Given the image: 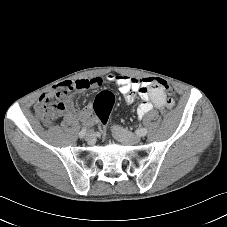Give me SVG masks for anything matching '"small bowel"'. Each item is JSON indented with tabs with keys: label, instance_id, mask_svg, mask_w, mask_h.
I'll return each instance as SVG.
<instances>
[{
	"label": "small bowel",
	"instance_id": "1",
	"mask_svg": "<svg viewBox=\"0 0 227 227\" xmlns=\"http://www.w3.org/2000/svg\"><path fill=\"white\" fill-rule=\"evenodd\" d=\"M105 80L118 87L128 105L134 104L137 97L142 100L137 109L139 118L145 116L153 108L163 110L173 104V101L167 97V93L155 78H135L108 74ZM102 83L103 79L100 77L61 83L55 86L53 91L47 92L40 97L35 106V112L46 125L51 124L62 116L78 118L87 125L92 124L94 122L92 105L88 104L78 111L74 107L75 93H71L70 90L80 91L86 88H96ZM53 98L57 100L52 102Z\"/></svg>",
	"mask_w": 227,
	"mask_h": 227
}]
</instances>
